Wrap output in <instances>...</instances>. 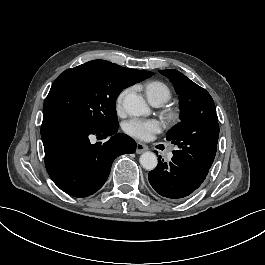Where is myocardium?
<instances>
[{
  "mask_svg": "<svg viewBox=\"0 0 265 265\" xmlns=\"http://www.w3.org/2000/svg\"><path fill=\"white\" fill-rule=\"evenodd\" d=\"M164 118L170 126H178L183 120V112L179 105L169 103L165 105Z\"/></svg>",
  "mask_w": 265,
  "mask_h": 265,
  "instance_id": "myocardium-1",
  "label": "myocardium"
}]
</instances>
